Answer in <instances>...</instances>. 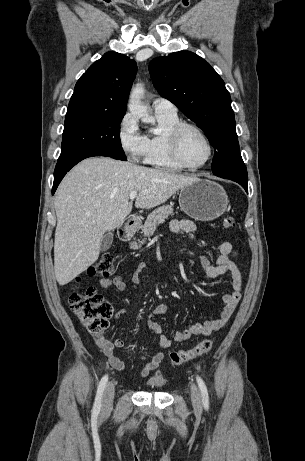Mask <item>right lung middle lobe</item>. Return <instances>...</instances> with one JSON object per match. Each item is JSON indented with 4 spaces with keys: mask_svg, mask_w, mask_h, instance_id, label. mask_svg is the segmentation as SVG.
Masks as SVG:
<instances>
[{
    "mask_svg": "<svg viewBox=\"0 0 305 461\" xmlns=\"http://www.w3.org/2000/svg\"><path fill=\"white\" fill-rule=\"evenodd\" d=\"M123 116L86 108L68 109L58 161L89 153H103L114 159L127 160L120 143L119 129Z\"/></svg>",
    "mask_w": 305,
    "mask_h": 461,
    "instance_id": "1",
    "label": "right lung middle lobe"
}]
</instances>
